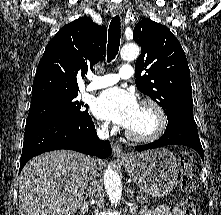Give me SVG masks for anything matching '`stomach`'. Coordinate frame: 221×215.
Returning a JSON list of instances; mask_svg holds the SVG:
<instances>
[{
	"mask_svg": "<svg viewBox=\"0 0 221 215\" xmlns=\"http://www.w3.org/2000/svg\"><path fill=\"white\" fill-rule=\"evenodd\" d=\"M128 175L147 195L163 197L177 184V161L166 148L128 154L121 159Z\"/></svg>",
	"mask_w": 221,
	"mask_h": 215,
	"instance_id": "1",
	"label": "stomach"
}]
</instances>
